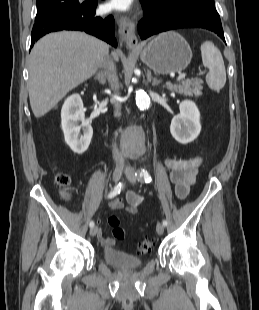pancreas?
I'll list each match as a JSON object with an SVG mask.
<instances>
[{
  "label": "pancreas",
  "mask_w": 259,
  "mask_h": 310,
  "mask_svg": "<svg viewBox=\"0 0 259 310\" xmlns=\"http://www.w3.org/2000/svg\"><path fill=\"white\" fill-rule=\"evenodd\" d=\"M202 79H187L181 81L179 84L168 85V89L172 92L183 94L185 96H201L202 95Z\"/></svg>",
  "instance_id": "obj_1"
}]
</instances>
